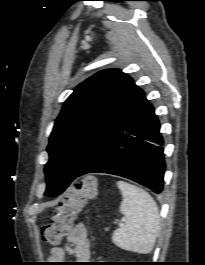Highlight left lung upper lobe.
<instances>
[{"label":"left lung upper lobe","instance_id":"left-lung-upper-lobe-1","mask_svg":"<svg viewBox=\"0 0 205 265\" xmlns=\"http://www.w3.org/2000/svg\"><path fill=\"white\" fill-rule=\"evenodd\" d=\"M143 97L144 92L132 78L118 69L100 71L78 85L64 103L50 135L45 195H60Z\"/></svg>","mask_w":205,"mask_h":265}]
</instances>
